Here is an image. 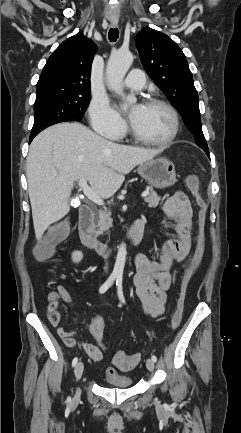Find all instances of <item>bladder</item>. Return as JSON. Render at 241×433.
<instances>
[{
    "mask_svg": "<svg viewBox=\"0 0 241 433\" xmlns=\"http://www.w3.org/2000/svg\"><path fill=\"white\" fill-rule=\"evenodd\" d=\"M106 387L126 389L132 386V378L129 375L119 373H106L104 377Z\"/></svg>",
    "mask_w": 241,
    "mask_h": 433,
    "instance_id": "1",
    "label": "bladder"
}]
</instances>
